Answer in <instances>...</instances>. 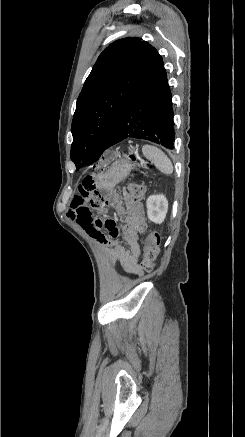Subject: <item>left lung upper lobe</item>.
<instances>
[{
	"label": "left lung upper lobe",
	"instance_id": "1",
	"mask_svg": "<svg viewBox=\"0 0 245 437\" xmlns=\"http://www.w3.org/2000/svg\"><path fill=\"white\" fill-rule=\"evenodd\" d=\"M158 56L138 37L119 39L98 57L77 99L71 132V159L93 164L107 141L127 100Z\"/></svg>",
	"mask_w": 245,
	"mask_h": 437
}]
</instances>
